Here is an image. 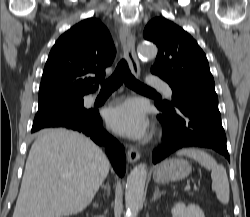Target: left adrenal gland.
<instances>
[{
    "instance_id": "left-adrenal-gland-1",
    "label": "left adrenal gland",
    "mask_w": 250,
    "mask_h": 217,
    "mask_svg": "<svg viewBox=\"0 0 250 217\" xmlns=\"http://www.w3.org/2000/svg\"><path fill=\"white\" fill-rule=\"evenodd\" d=\"M163 194H165V192H160L159 188L156 187L155 188V192L153 194L152 202L155 201V200H157V199H159Z\"/></svg>"
}]
</instances>
